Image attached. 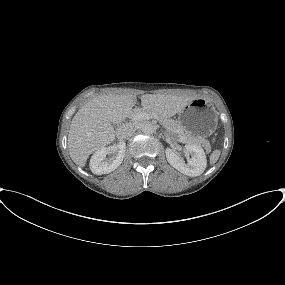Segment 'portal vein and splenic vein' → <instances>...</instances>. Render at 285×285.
<instances>
[{"instance_id": "portal-vein-and-splenic-vein-1", "label": "portal vein and splenic vein", "mask_w": 285, "mask_h": 285, "mask_svg": "<svg viewBox=\"0 0 285 285\" xmlns=\"http://www.w3.org/2000/svg\"><path fill=\"white\" fill-rule=\"evenodd\" d=\"M157 118L156 114H149L147 112H137L136 114H134L133 119L134 120H142V119H150V118Z\"/></svg>"}]
</instances>
